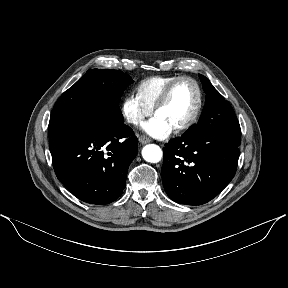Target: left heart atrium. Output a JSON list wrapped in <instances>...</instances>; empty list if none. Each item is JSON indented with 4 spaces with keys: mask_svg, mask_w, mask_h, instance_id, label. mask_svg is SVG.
Segmentation results:
<instances>
[{
    "mask_svg": "<svg viewBox=\"0 0 288 288\" xmlns=\"http://www.w3.org/2000/svg\"><path fill=\"white\" fill-rule=\"evenodd\" d=\"M142 128L150 135L157 138H165L172 130V126L161 116L155 115L143 123Z\"/></svg>",
    "mask_w": 288,
    "mask_h": 288,
    "instance_id": "left-heart-atrium-1",
    "label": "left heart atrium"
}]
</instances>
